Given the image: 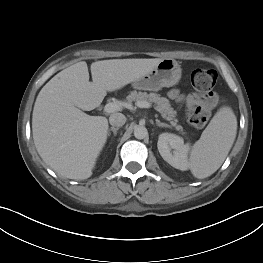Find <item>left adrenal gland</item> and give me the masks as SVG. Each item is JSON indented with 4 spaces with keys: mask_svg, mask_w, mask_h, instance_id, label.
<instances>
[{
    "mask_svg": "<svg viewBox=\"0 0 263 263\" xmlns=\"http://www.w3.org/2000/svg\"><path fill=\"white\" fill-rule=\"evenodd\" d=\"M156 124H157V126H159V127H170L168 124L162 123V122H160L159 120H156Z\"/></svg>",
    "mask_w": 263,
    "mask_h": 263,
    "instance_id": "obj_1",
    "label": "left adrenal gland"
}]
</instances>
